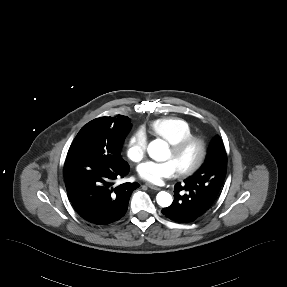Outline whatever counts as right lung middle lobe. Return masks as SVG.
<instances>
[{
  "label": "right lung middle lobe",
  "mask_w": 287,
  "mask_h": 287,
  "mask_svg": "<svg viewBox=\"0 0 287 287\" xmlns=\"http://www.w3.org/2000/svg\"><path fill=\"white\" fill-rule=\"evenodd\" d=\"M131 128V123L127 122L112 139L101 136L98 126L90 121L84 125L73 140L67 155L80 152L94 153L110 160L121 158V147L123 141Z\"/></svg>",
  "instance_id": "right-lung-middle-lobe-1"
}]
</instances>
